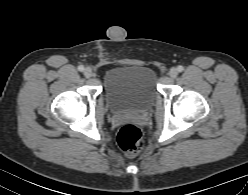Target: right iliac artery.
Wrapping results in <instances>:
<instances>
[{"label":"right iliac artery","mask_w":248,"mask_h":195,"mask_svg":"<svg viewBox=\"0 0 248 195\" xmlns=\"http://www.w3.org/2000/svg\"><path fill=\"white\" fill-rule=\"evenodd\" d=\"M78 70L81 72L84 71V66H82V65L78 66Z\"/></svg>","instance_id":"obj_1"}]
</instances>
